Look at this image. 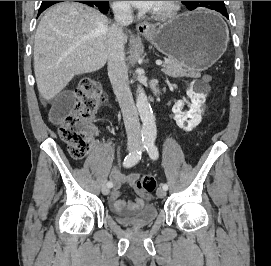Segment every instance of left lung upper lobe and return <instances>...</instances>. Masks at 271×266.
<instances>
[{"instance_id":"obj_1","label":"left lung upper lobe","mask_w":271,"mask_h":266,"mask_svg":"<svg viewBox=\"0 0 271 266\" xmlns=\"http://www.w3.org/2000/svg\"><path fill=\"white\" fill-rule=\"evenodd\" d=\"M189 10L208 8L218 12L226 11L224 1H182Z\"/></svg>"}]
</instances>
